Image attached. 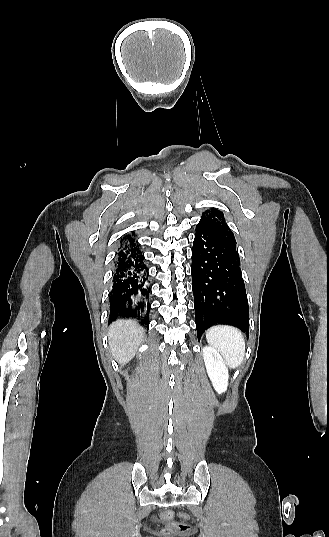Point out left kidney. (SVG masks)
<instances>
[{
	"label": "left kidney",
	"mask_w": 329,
	"mask_h": 537,
	"mask_svg": "<svg viewBox=\"0 0 329 537\" xmlns=\"http://www.w3.org/2000/svg\"><path fill=\"white\" fill-rule=\"evenodd\" d=\"M203 358L214 389L220 394L227 390L228 368L221 355L212 347H204Z\"/></svg>",
	"instance_id": "obj_1"
}]
</instances>
